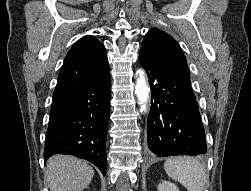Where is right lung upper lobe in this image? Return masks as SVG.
I'll use <instances>...</instances> for the list:
<instances>
[{"label": "right lung upper lobe", "mask_w": 251, "mask_h": 191, "mask_svg": "<svg viewBox=\"0 0 251 191\" xmlns=\"http://www.w3.org/2000/svg\"><path fill=\"white\" fill-rule=\"evenodd\" d=\"M109 75L105 47L94 36L82 37L61 67L53 98L87 87Z\"/></svg>", "instance_id": "cb5924a9"}]
</instances>
